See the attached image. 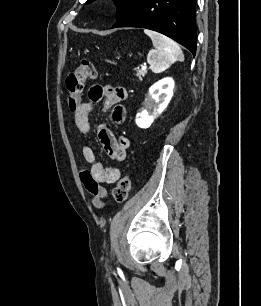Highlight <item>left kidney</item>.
I'll list each match as a JSON object with an SVG mask.
<instances>
[{
    "mask_svg": "<svg viewBox=\"0 0 261 306\" xmlns=\"http://www.w3.org/2000/svg\"><path fill=\"white\" fill-rule=\"evenodd\" d=\"M174 80L164 78L149 88V94L145 99V107L136 116V124L140 128H149L168 106L174 89Z\"/></svg>",
    "mask_w": 261,
    "mask_h": 306,
    "instance_id": "left-kidney-1",
    "label": "left kidney"
}]
</instances>
